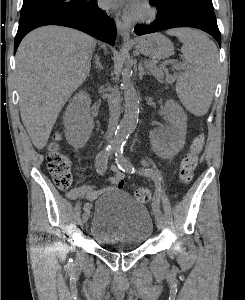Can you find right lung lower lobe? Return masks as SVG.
Wrapping results in <instances>:
<instances>
[{
  "instance_id": "98d812e1",
  "label": "right lung lower lobe",
  "mask_w": 245,
  "mask_h": 300,
  "mask_svg": "<svg viewBox=\"0 0 245 300\" xmlns=\"http://www.w3.org/2000/svg\"><path fill=\"white\" fill-rule=\"evenodd\" d=\"M45 25H60L83 31L110 45L115 44L116 26L114 21L96 4L83 11H67L46 18L19 25L14 42L16 52L22 38L31 30Z\"/></svg>"
}]
</instances>
